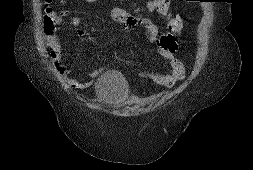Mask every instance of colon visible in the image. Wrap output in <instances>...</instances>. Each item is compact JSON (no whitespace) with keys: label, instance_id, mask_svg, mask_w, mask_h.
<instances>
[{"label":"colon","instance_id":"5ec220e1","mask_svg":"<svg viewBox=\"0 0 253 170\" xmlns=\"http://www.w3.org/2000/svg\"><path fill=\"white\" fill-rule=\"evenodd\" d=\"M54 13H50L46 18H45V23H44V29L46 32H50L52 31L53 27H54V19L56 17V15H53ZM175 27H179L180 23L179 22H175L174 23ZM53 56L56 55L55 51H53Z\"/></svg>","mask_w":253,"mask_h":170}]
</instances>
